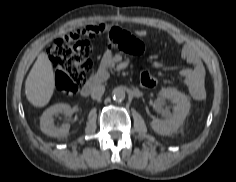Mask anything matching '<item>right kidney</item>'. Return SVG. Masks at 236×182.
Returning a JSON list of instances; mask_svg holds the SVG:
<instances>
[{
  "instance_id": "ca27d5eb",
  "label": "right kidney",
  "mask_w": 236,
  "mask_h": 182,
  "mask_svg": "<svg viewBox=\"0 0 236 182\" xmlns=\"http://www.w3.org/2000/svg\"><path fill=\"white\" fill-rule=\"evenodd\" d=\"M59 114L71 115V107L68 104H55L44 111L40 118L41 131L51 137H66L69 134L70 125L65 123L61 126H55L53 117Z\"/></svg>"
}]
</instances>
